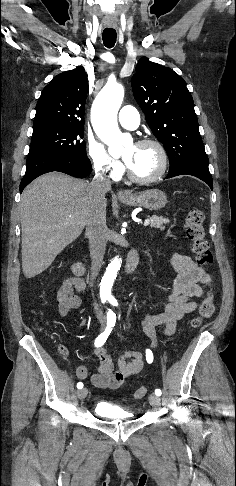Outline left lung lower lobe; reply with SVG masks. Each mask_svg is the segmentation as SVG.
I'll use <instances>...</instances> for the list:
<instances>
[{
	"label": "left lung lower lobe",
	"mask_w": 236,
	"mask_h": 486,
	"mask_svg": "<svg viewBox=\"0 0 236 486\" xmlns=\"http://www.w3.org/2000/svg\"><path fill=\"white\" fill-rule=\"evenodd\" d=\"M182 174L195 176V177L203 180L204 182H206L209 185V187L211 189H213V180H212V176H211L209 170H202V169H198V168L185 167V168H181V169L169 172V174L166 178H172V177L182 175Z\"/></svg>",
	"instance_id": "1"
}]
</instances>
